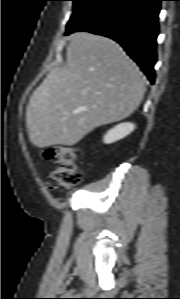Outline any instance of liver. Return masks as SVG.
Masks as SVG:
<instances>
[{
	"instance_id": "1",
	"label": "liver",
	"mask_w": 180,
	"mask_h": 299,
	"mask_svg": "<svg viewBox=\"0 0 180 299\" xmlns=\"http://www.w3.org/2000/svg\"><path fill=\"white\" fill-rule=\"evenodd\" d=\"M144 93L143 74L116 42L75 33L66 63L53 68L30 97V142L39 148L72 146L96 127L130 116Z\"/></svg>"
}]
</instances>
